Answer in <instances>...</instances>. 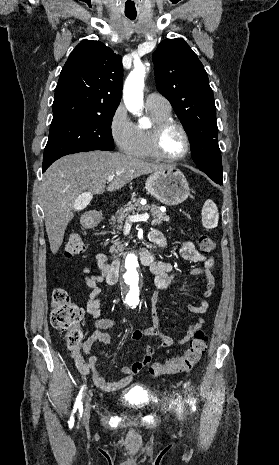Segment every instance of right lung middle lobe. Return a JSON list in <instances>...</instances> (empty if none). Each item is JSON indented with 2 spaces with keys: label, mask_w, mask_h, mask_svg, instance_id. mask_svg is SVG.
I'll use <instances>...</instances> for the list:
<instances>
[{
  "label": "right lung middle lobe",
  "mask_w": 279,
  "mask_h": 465,
  "mask_svg": "<svg viewBox=\"0 0 279 465\" xmlns=\"http://www.w3.org/2000/svg\"><path fill=\"white\" fill-rule=\"evenodd\" d=\"M114 113L115 110L52 124L42 166H50L64 155L82 152L89 147L113 150L111 123Z\"/></svg>",
  "instance_id": "obj_1"
}]
</instances>
